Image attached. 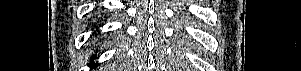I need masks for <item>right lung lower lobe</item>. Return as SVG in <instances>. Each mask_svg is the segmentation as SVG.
I'll use <instances>...</instances> for the list:
<instances>
[{
    "label": "right lung lower lobe",
    "mask_w": 301,
    "mask_h": 71,
    "mask_svg": "<svg viewBox=\"0 0 301 71\" xmlns=\"http://www.w3.org/2000/svg\"><path fill=\"white\" fill-rule=\"evenodd\" d=\"M97 51H98V49H97ZM95 58H96V57L93 55L92 58H91V60L93 61Z\"/></svg>",
    "instance_id": "right-lung-lower-lobe-1"
}]
</instances>
